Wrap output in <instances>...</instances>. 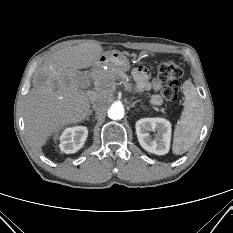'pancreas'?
Wrapping results in <instances>:
<instances>
[{
  "mask_svg": "<svg viewBox=\"0 0 233 233\" xmlns=\"http://www.w3.org/2000/svg\"><path fill=\"white\" fill-rule=\"evenodd\" d=\"M97 80L102 82L105 80H111L113 82H115L116 80H122L124 86L128 89V90H132L131 85L127 82V76L125 75V73L119 69H109V70H100L99 75L97 76ZM154 109L156 111H160L162 113L166 112L165 108H157L154 107Z\"/></svg>",
  "mask_w": 233,
  "mask_h": 233,
  "instance_id": "obj_1",
  "label": "pancreas"
}]
</instances>
